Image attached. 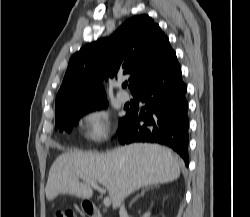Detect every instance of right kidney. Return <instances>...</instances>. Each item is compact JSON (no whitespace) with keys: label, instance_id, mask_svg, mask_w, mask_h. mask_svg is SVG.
<instances>
[{"label":"right kidney","instance_id":"1","mask_svg":"<svg viewBox=\"0 0 250 217\" xmlns=\"http://www.w3.org/2000/svg\"><path fill=\"white\" fill-rule=\"evenodd\" d=\"M143 217H150V212L145 213Z\"/></svg>","mask_w":250,"mask_h":217}]
</instances>
